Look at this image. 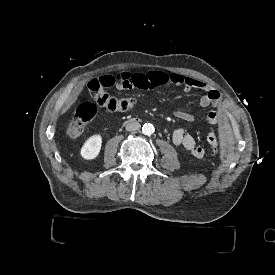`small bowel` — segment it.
<instances>
[{"label":"small bowel","mask_w":275,"mask_h":275,"mask_svg":"<svg viewBox=\"0 0 275 275\" xmlns=\"http://www.w3.org/2000/svg\"><path fill=\"white\" fill-rule=\"evenodd\" d=\"M113 84L124 90L130 89H153L165 85L182 86L186 91L199 90L204 94L199 100L203 108L212 107V110L206 116L208 125H215L219 119L221 111L220 93L209 84L196 79H191L176 72H166L161 70H152L148 72H122L118 78H113ZM176 118L184 121H191L196 115L186 111H175ZM207 143L214 142L217 145L216 152L219 149L220 141L218 136L209 131L207 134ZM172 141L175 145L183 147L195 158L202 159L205 156V149L198 145L196 140L182 129H177L172 134Z\"/></svg>","instance_id":"c3829d8e"}]
</instances>
